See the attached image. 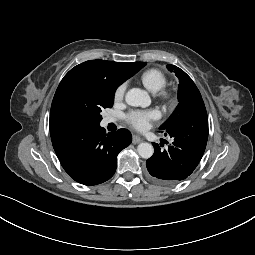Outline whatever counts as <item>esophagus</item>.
Segmentation results:
<instances>
[{"label":"esophagus","mask_w":255,"mask_h":255,"mask_svg":"<svg viewBox=\"0 0 255 255\" xmlns=\"http://www.w3.org/2000/svg\"><path fill=\"white\" fill-rule=\"evenodd\" d=\"M141 141H142V139H141L139 136L133 135V138H132V143H133V144H138V143H140Z\"/></svg>","instance_id":"34e87169"}]
</instances>
